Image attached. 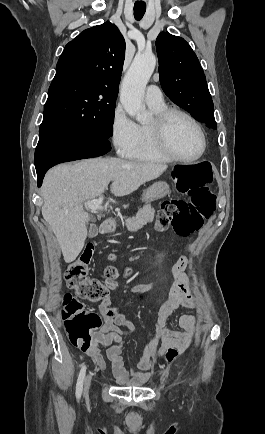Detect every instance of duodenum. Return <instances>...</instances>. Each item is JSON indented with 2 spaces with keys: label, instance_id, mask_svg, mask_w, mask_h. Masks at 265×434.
Masks as SVG:
<instances>
[{
  "label": "duodenum",
  "instance_id": "1",
  "mask_svg": "<svg viewBox=\"0 0 265 434\" xmlns=\"http://www.w3.org/2000/svg\"><path fill=\"white\" fill-rule=\"evenodd\" d=\"M114 230V224H112L111 222H104L100 228V231L102 233H111Z\"/></svg>",
  "mask_w": 265,
  "mask_h": 434
}]
</instances>
